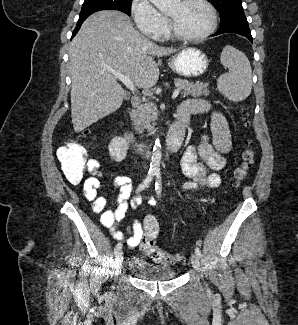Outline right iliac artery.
Listing matches in <instances>:
<instances>
[{
  "mask_svg": "<svg viewBox=\"0 0 298 325\" xmlns=\"http://www.w3.org/2000/svg\"><path fill=\"white\" fill-rule=\"evenodd\" d=\"M153 176H154V172H149L147 177L144 179V181L138 186L136 193H139L145 188H147L150 182L152 181ZM121 248H122V243H118L114 248V253L117 254Z\"/></svg>",
  "mask_w": 298,
  "mask_h": 325,
  "instance_id": "82829eb1",
  "label": "right iliac artery"
}]
</instances>
